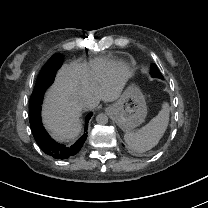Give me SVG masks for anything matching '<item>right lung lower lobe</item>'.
<instances>
[{"instance_id": "1", "label": "right lung lower lobe", "mask_w": 208, "mask_h": 208, "mask_svg": "<svg viewBox=\"0 0 208 208\" xmlns=\"http://www.w3.org/2000/svg\"><path fill=\"white\" fill-rule=\"evenodd\" d=\"M63 57H52L43 66L31 95L29 103L30 126L34 139L44 153L55 158L64 160L76 155L82 148L87 138L88 122L93 113L86 116L84 134L73 145L59 144L46 132L41 122V104L45 90L52 84L56 71L62 65Z\"/></svg>"}]
</instances>
